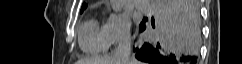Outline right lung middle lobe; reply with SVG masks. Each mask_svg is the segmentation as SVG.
<instances>
[{
  "instance_id": "dd1d6c3e",
  "label": "right lung middle lobe",
  "mask_w": 242,
  "mask_h": 64,
  "mask_svg": "<svg viewBox=\"0 0 242 64\" xmlns=\"http://www.w3.org/2000/svg\"><path fill=\"white\" fill-rule=\"evenodd\" d=\"M145 21H146V18L143 19V21L141 22L140 26H143L145 24Z\"/></svg>"
}]
</instances>
